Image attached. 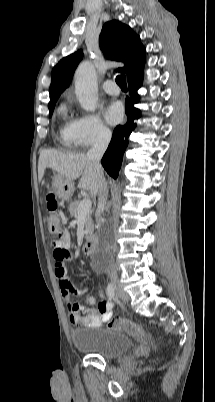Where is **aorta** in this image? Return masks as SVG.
Listing matches in <instances>:
<instances>
[{
	"label": "aorta",
	"instance_id": "762f6f07",
	"mask_svg": "<svg viewBox=\"0 0 215 402\" xmlns=\"http://www.w3.org/2000/svg\"><path fill=\"white\" fill-rule=\"evenodd\" d=\"M74 78L75 93L81 107L86 111H95L98 101V85L94 65L89 61L82 62L77 67ZM95 256L97 258L107 257V245L101 242Z\"/></svg>",
	"mask_w": 215,
	"mask_h": 402
}]
</instances>
